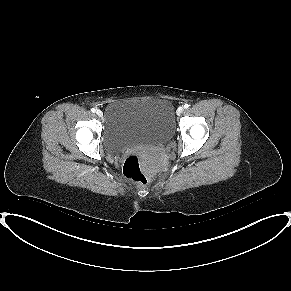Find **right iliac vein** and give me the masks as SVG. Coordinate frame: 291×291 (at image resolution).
I'll list each match as a JSON object with an SVG mask.
<instances>
[{"label": "right iliac vein", "instance_id": "63e3f726", "mask_svg": "<svg viewBox=\"0 0 291 291\" xmlns=\"http://www.w3.org/2000/svg\"><path fill=\"white\" fill-rule=\"evenodd\" d=\"M96 114H97L99 117H102V116H103V112H102L100 109H98V110L96 111Z\"/></svg>", "mask_w": 291, "mask_h": 291}]
</instances>
